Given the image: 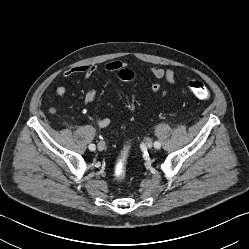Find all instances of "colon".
<instances>
[{
	"label": "colon",
	"instance_id": "colon-1",
	"mask_svg": "<svg viewBox=\"0 0 249 249\" xmlns=\"http://www.w3.org/2000/svg\"><path fill=\"white\" fill-rule=\"evenodd\" d=\"M118 77L122 80H132L134 78V73L129 69H121L118 73ZM188 90L198 99L207 100L210 98L211 93L209 89L200 81L190 80L187 82ZM125 166L119 163L116 167V172L118 176L123 175Z\"/></svg>",
	"mask_w": 249,
	"mask_h": 249
}]
</instances>
